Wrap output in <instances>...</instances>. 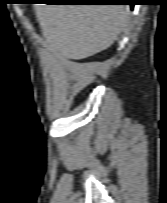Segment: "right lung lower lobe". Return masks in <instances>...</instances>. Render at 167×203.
Listing matches in <instances>:
<instances>
[{
  "mask_svg": "<svg viewBox=\"0 0 167 203\" xmlns=\"http://www.w3.org/2000/svg\"><path fill=\"white\" fill-rule=\"evenodd\" d=\"M112 3H117V2H104V3H100V4H112ZM130 6H131V9H133L134 4L131 3Z\"/></svg>",
  "mask_w": 167,
  "mask_h": 203,
  "instance_id": "obj_1",
  "label": "right lung lower lobe"
}]
</instances>
